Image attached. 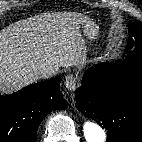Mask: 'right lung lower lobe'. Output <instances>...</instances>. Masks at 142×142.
Masks as SVG:
<instances>
[{"label":"right lung lower lobe","instance_id":"obj_1","mask_svg":"<svg viewBox=\"0 0 142 142\" xmlns=\"http://www.w3.org/2000/svg\"><path fill=\"white\" fill-rule=\"evenodd\" d=\"M61 78L31 84L0 96V142H36L37 129L51 111L65 109Z\"/></svg>","mask_w":142,"mask_h":142}]
</instances>
